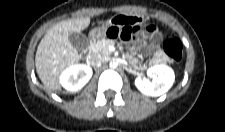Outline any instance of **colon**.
Masks as SVG:
<instances>
[{"instance_id":"colon-1","label":"colon","mask_w":225,"mask_h":132,"mask_svg":"<svg viewBox=\"0 0 225 132\" xmlns=\"http://www.w3.org/2000/svg\"><path fill=\"white\" fill-rule=\"evenodd\" d=\"M140 26H113L108 30L112 38L129 41L137 39L141 35ZM163 50L168 58L174 62H180L182 59V44L178 38H168L163 43Z\"/></svg>"}]
</instances>
